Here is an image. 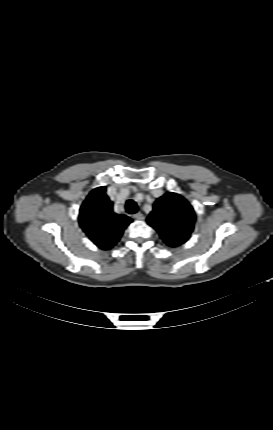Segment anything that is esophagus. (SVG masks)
Listing matches in <instances>:
<instances>
[{
	"mask_svg": "<svg viewBox=\"0 0 273 430\" xmlns=\"http://www.w3.org/2000/svg\"><path fill=\"white\" fill-rule=\"evenodd\" d=\"M132 217L136 220H143L144 219V215L141 212L134 214Z\"/></svg>",
	"mask_w": 273,
	"mask_h": 430,
	"instance_id": "1",
	"label": "esophagus"
}]
</instances>
